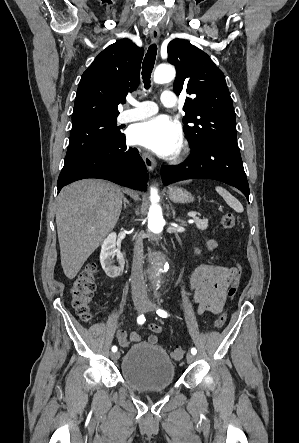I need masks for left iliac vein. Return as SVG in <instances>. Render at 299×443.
<instances>
[{"label": "left iliac vein", "instance_id": "1", "mask_svg": "<svg viewBox=\"0 0 299 443\" xmlns=\"http://www.w3.org/2000/svg\"><path fill=\"white\" fill-rule=\"evenodd\" d=\"M153 309H154V305L151 302H148L145 305L144 312H149V311H152ZM186 359H187V362L189 364H191L192 362H194L195 356L192 353H188L186 356Z\"/></svg>", "mask_w": 299, "mask_h": 443}]
</instances>
